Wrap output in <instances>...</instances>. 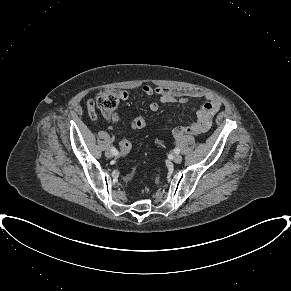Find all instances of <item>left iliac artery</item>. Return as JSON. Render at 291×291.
<instances>
[{
    "label": "left iliac artery",
    "mask_w": 291,
    "mask_h": 291,
    "mask_svg": "<svg viewBox=\"0 0 291 291\" xmlns=\"http://www.w3.org/2000/svg\"><path fill=\"white\" fill-rule=\"evenodd\" d=\"M174 152H175L176 154H179V153H180V149H179V148H175V149H174Z\"/></svg>",
    "instance_id": "44dca946"
}]
</instances>
